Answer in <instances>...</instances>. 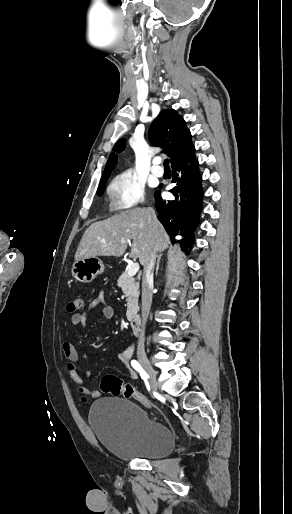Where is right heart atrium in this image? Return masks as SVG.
Returning a JSON list of instances; mask_svg holds the SVG:
<instances>
[{"label": "right heart atrium", "instance_id": "obj_1", "mask_svg": "<svg viewBox=\"0 0 292 514\" xmlns=\"http://www.w3.org/2000/svg\"><path fill=\"white\" fill-rule=\"evenodd\" d=\"M145 181L136 171L124 170L109 182L107 194L111 206L116 209H131L142 202Z\"/></svg>", "mask_w": 292, "mask_h": 514}]
</instances>
